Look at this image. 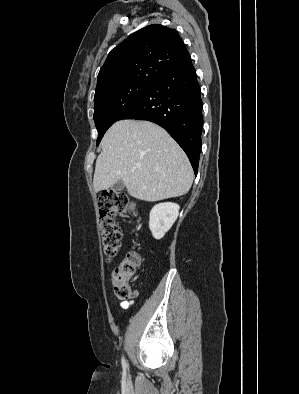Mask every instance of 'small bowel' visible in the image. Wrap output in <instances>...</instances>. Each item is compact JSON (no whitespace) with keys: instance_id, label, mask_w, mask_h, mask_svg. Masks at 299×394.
Segmentation results:
<instances>
[{"instance_id":"obj_1","label":"small bowel","mask_w":299,"mask_h":394,"mask_svg":"<svg viewBox=\"0 0 299 394\" xmlns=\"http://www.w3.org/2000/svg\"><path fill=\"white\" fill-rule=\"evenodd\" d=\"M129 306H130V303H128V302H122V303L120 304V307L123 308V309H126V308H128Z\"/></svg>"}]
</instances>
